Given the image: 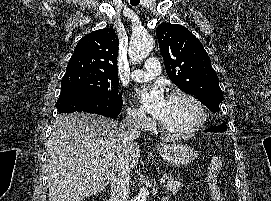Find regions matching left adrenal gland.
Wrapping results in <instances>:
<instances>
[{
	"instance_id": "1",
	"label": "left adrenal gland",
	"mask_w": 271,
	"mask_h": 201,
	"mask_svg": "<svg viewBox=\"0 0 271 201\" xmlns=\"http://www.w3.org/2000/svg\"><path fill=\"white\" fill-rule=\"evenodd\" d=\"M167 199H168V196H166V197L163 196V197H162V200H163V201H167Z\"/></svg>"
}]
</instances>
